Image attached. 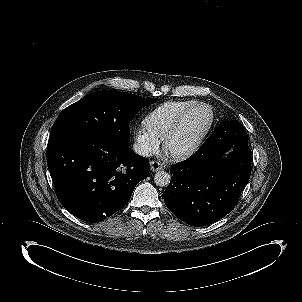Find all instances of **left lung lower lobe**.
Wrapping results in <instances>:
<instances>
[{
    "instance_id": "left-lung-lower-lobe-1",
    "label": "left lung lower lobe",
    "mask_w": 302,
    "mask_h": 302,
    "mask_svg": "<svg viewBox=\"0 0 302 302\" xmlns=\"http://www.w3.org/2000/svg\"><path fill=\"white\" fill-rule=\"evenodd\" d=\"M228 151V150H227ZM227 151L202 145L187 160L174 164L162 198L167 208L191 226L214 223L236 206L251 174L248 145Z\"/></svg>"
}]
</instances>
